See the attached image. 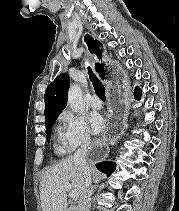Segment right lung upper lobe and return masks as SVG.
<instances>
[{
	"label": "right lung upper lobe",
	"instance_id": "right-lung-upper-lobe-1",
	"mask_svg": "<svg viewBox=\"0 0 179 211\" xmlns=\"http://www.w3.org/2000/svg\"><path fill=\"white\" fill-rule=\"evenodd\" d=\"M96 55L101 59V53L98 51ZM95 69L99 76L104 79L107 78V66L105 63H96ZM70 85V78L68 74L63 73L59 75L53 82L49 84L44 95L45 102V117L49 120L52 117L59 116L67 103V93Z\"/></svg>",
	"mask_w": 179,
	"mask_h": 211
}]
</instances>
